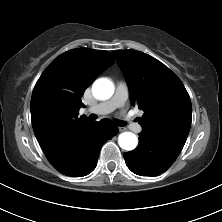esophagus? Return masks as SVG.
<instances>
[{"label": "esophagus", "instance_id": "1", "mask_svg": "<svg viewBox=\"0 0 222 222\" xmlns=\"http://www.w3.org/2000/svg\"><path fill=\"white\" fill-rule=\"evenodd\" d=\"M118 130H119V132H123L126 130V128L125 127H118Z\"/></svg>", "mask_w": 222, "mask_h": 222}]
</instances>
